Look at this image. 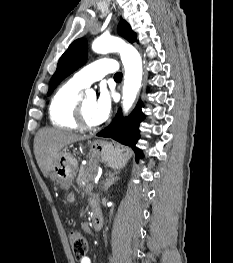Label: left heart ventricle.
Listing matches in <instances>:
<instances>
[{
	"instance_id": "left-heart-ventricle-1",
	"label": "left heart ventricle",
	"mask_w": 233,
	"mask_h": 263,
	"mask_svg": "<svg viewBox=\"0 0 233 263\" xmlns=\"http://www.w3.org/2000/svg\"><path fill=\"white\" fill-rule=\"evenodd\" d=\"M83 110H84V116L87 120L88 123L93 124L92 119H91V113H92V109L95 103V99L94 98H87L84 99L83 101Z\"/></svg>"
}]
</instances>
